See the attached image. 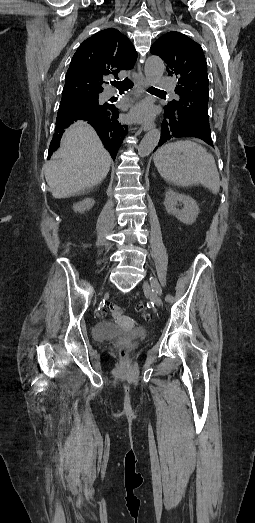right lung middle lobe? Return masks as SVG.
Masks as SVG:
<instances>
[{
	"label": "right lung middle lobe",
	"mask_w": 255,
	"mask_h": 523,
	"mask_svg": "<svg viewBox=\"0 0 255 523\" xmlns=\"http://www.w3.org/2000/svg\"><path fill=\"white\" fill-rule=\"evenodd\" d=\"M74 104L76 106H80L82 108H87L90 105V100L87 97H82V98L81 97H76L74 99Z\"/></svg>",
	"instance_id": "dd1d6c3e"
}]
</instances>
